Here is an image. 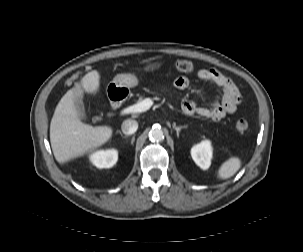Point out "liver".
Instances as JSON below:
<instances>
[{
    "label": "liver",
    "instance_id": "6515ba94",
    "mask_svg": "<svg viewBox=\"0 0 303 252\" xmlns=\"http://www.w3.org/2000/svg\"><path fill=\"white\" fill-rule=\"evenodd\" d=\"M99 86L100 74L93 70L59 101L50 124V142L54 157L60 164L92 152L111 138V127L85 124L77 110L76 102L82 94H96Z\"/></svg>",
    "mask_w": 303,
    "mask_h": 252
}]
</instances>
